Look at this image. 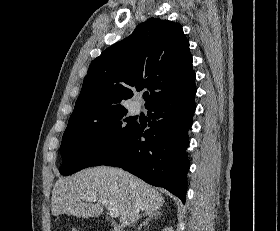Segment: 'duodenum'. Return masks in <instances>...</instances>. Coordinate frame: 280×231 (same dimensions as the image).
I'll use <instances>...</instances> for the list:
<instances>
[{
    "label": "duodenum",
    "instance_id": "410a0bca",
    "mask_svg": "<svg viewBox=\"0 0 280 231\" xmlns=\"http://www.w3.org/2000/svg\"><path fill=\"white\" fill-rule=\"evenodd\" d=\"M110 231H123V229L119 226H114L110 229Z\"/></svg>",
    "mask_w": 280,
    "mask_h": 231
}]
</instances>
